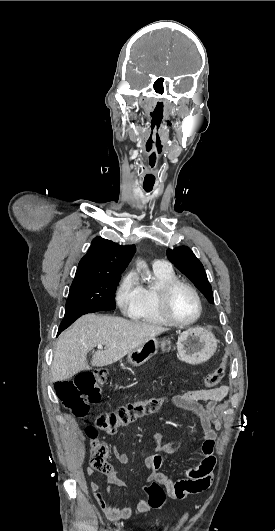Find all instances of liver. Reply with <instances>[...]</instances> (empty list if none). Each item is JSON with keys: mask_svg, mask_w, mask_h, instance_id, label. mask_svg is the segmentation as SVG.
I'll return each mask as SVG.
<instances>
[{"mask_svg": "<svg viewBox=\"0 0 275 531\" xmlns=\"http://www.w3.org/2000/svg\"><path fill=\"white\" fill-rule=\"evenodd\" d=\"M169 331L154 323L127 321L122 317L109 315H83L72 327L61 333L54 353L51 375L53 381L71 379L79 371H89L87 353L104 345V351H96L92 367H105L120 361L132 349L148 339Z\"/></svg>", "mask_w": 275, "mask_h": 531, "instance_id": "obj_1", "label": "liver"}]
</instances>
